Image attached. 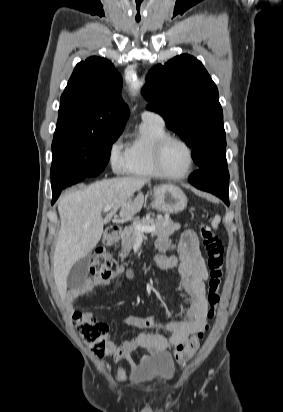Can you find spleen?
Here are the masks:
<instances>
[{"mask_svg":"<svg viewBox=\"0 0 283 412\" xmlns=\"http://www.w3.org/2000/svg\"><path fill=\"white\" fill-rule=\"evenodd\" d=\"M218 219H213L212 220V226H213V228H215V229H217V227H218Z\"/></svg>","mask_w":283,"mask_h":412,"instance_id":"spleen-1","label":"spleen"}]
</instances>
